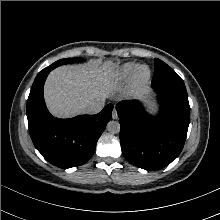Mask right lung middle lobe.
I'll return each instance as SVG.
<instances>
[{
    "label": "right lung middle lobe",
    "mask_w": 220,
    "mask_h": 220,
    "mask_svg": "<svg viewBox=\"0 0 220 220\" xmlns=\"http://www.w3.org/2000/svg\"><path fill=\"white\" fill-rule=\"evenodd\" d=\"M84 59L79 58V57H74V58H67V59H61L50 65L51 67H58L63 64H70V63H75V62H82Z\"/></svg>",
    "instance_id": "dd1d6c3e"
}]
</instances>
